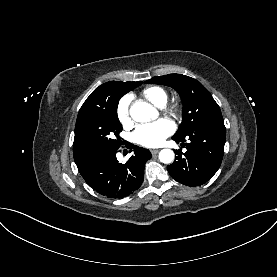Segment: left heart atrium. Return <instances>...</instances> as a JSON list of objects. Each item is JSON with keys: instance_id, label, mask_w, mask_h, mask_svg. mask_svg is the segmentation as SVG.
<instances>
[{"instance_id": "39dd6f15", "label": "left heart atrium", "mask_w": 277, "mask_h": 277, "mask_svg": "<svg viewBox=\"0 0 277 277\" xmlns=\"http://www.w3.org/2000/svg\"><path fill=\"white\" fill-rule=\"evenodd\" d=\"M174 132V125L166 119L139 126L134 134V141L145 147L160 146Z\"/></svg>"}]
</instances>
